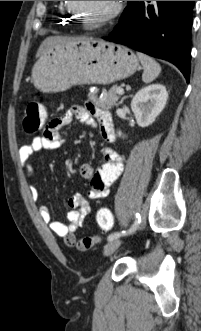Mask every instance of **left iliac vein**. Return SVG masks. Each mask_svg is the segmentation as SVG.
<instances>
[{
    "instance_id": "1",
    "label": "left iliac vein",
    "mask_w": 201,
    "mask_h": 331,
    "mask_svg": "<svg viewBox=\"0 0 201 331\" xmlns=\"http://www.w3.org/2000/svg\"><path fill=\"white\" fill-rule=\"evenodd\" d=\"M121 245V240L120 239H113L109 241L105 247H104V254L106 256L112 255Z\"/></svg>"
}]
</instances>
